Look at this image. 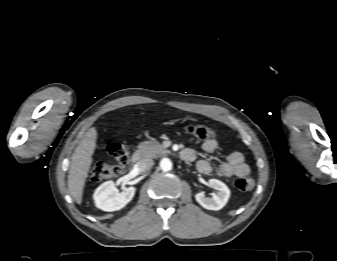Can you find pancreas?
I'll return each instance as SVG.
<instances>
[{
    "label": "pancreas",
    "instance_id": "pancreas-1",
    "mask_svg": "<svg viewBox=\"0 0 337 261\" xmlns=\"http://www.w3.org/2000/svg\"><path fill=\"white\" fill-rule=\"evenodd\" d=\"M142 156L147 158H156L170 153L162 144L157 141H146L138 145Z\"/></svg>",
    "mask_w": 337,
    "mask_h": 261
}]
</instances>
